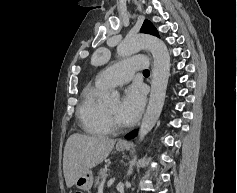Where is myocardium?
I'll list each match as a JSON object with an SVG mask.
<instances>
[{"instance_id":"f54148a6","label":"myocardium","mask_w":237,"mask_h":193,"mask_svg":"<svg viewBox=\"0 0 237 193\" xmlns=\"http://www.w3.org/2000/svg\"><path fill=\"white\" fill-rule=\"evenodd\" d=\"M104 118L110 130H122L125 128V125L116 122L111 113L108 111L106 105H104Z\"/></svg>"}]
</instances>
